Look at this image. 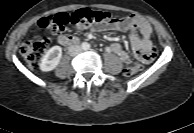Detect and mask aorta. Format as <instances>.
<instances>
[{
  "label": "aorta",
  "mask_w": 194,
  "mask_h": 133,
  "mask_svg": "<svg viewBox=\"0 0 194 133\" xmlns=\"http://www.w3.org/2000/svg\"><path fill=\"white\" fill-rule=\"evenodd\" d=\"M83 49H84V50L89 49V44L85 43V44L83 45Z\"/></svg>",
  "instance_id": "762f6f07"
}]
</instances>
